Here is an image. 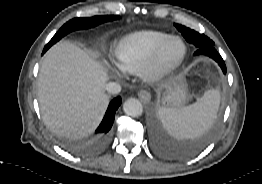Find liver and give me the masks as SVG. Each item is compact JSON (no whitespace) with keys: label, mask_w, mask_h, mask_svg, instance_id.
Wrapping results in <instances>:
<instances>
[{"label":"liver","mask_w":262,"mask_h":184,"mask_svg":"<svg viewBox=\"0 0 262 184\" xmlns=\"http://www.w3.org/2000/svg\"><path fill=\"white\" fill-rule=\"evenodd\" d=\"M107 70L92 56L64 41L46 53L38 77V100L45 125L57 136H87L101 121L109 98Z\"/></svg>","instance_id":"obj_1"}]
</instances>
